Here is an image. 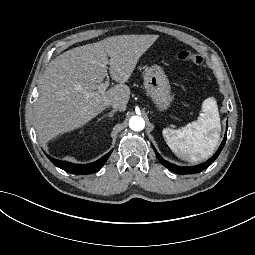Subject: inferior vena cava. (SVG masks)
<instances>
[{
    "label": "inferior vena cava",
    "instance_id": "obj_1",
    "mask_svg": "<svg viewBox=\"0 0 255 255\" xmlns=\"http://www.w3.org/2000/svg\"><path fill=\"white\" fill-rule=\"evenodd\" d=\"M111 106H112V108L114 109V110H120L121 109V105H120V103H118V102H113L112 104H111Z\"/></svg>",
    "mask_w": 255,
    "mask_h": 255
}]
</instances>
